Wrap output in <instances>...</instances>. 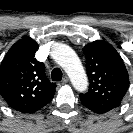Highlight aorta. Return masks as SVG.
<instances>
[{
	"label": "aorta",
	"instance_id": "1",
	"mask_svg": "<svg viewBox=\"0 0 133 133\" xmlns=\"http://www.w3.org/2000/svg\"><path fill=\"white\" fill-rule=\"evenodd\" d=\"M52 58L69 76L72 85L79 92L88 88V79L77 54L63 43H55L51 52Z\"/></svg>",
	"mask_w": 133,
	"mask_h": 133
}]
</instances>
